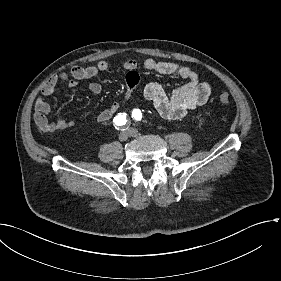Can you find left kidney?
<instances>
[{
  "mask_svg": "<svg viewBox=\"0 0 281 281\" xmlns=\"http://www.w3.org/2000/svg\"><path fill=\"white\" fill-rule=\"evenodd\" d=\"M199 119H200V121H204V118H203V117H200Z\"/></svg>",
  "mask_w": 281,
  "mask_h": 281,
  "instance_id": "obj_1",
  "label": "left kidney"
}]
</instances>
